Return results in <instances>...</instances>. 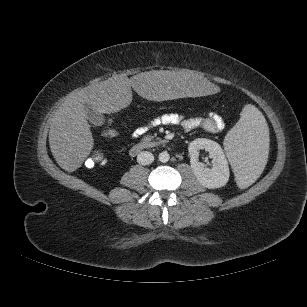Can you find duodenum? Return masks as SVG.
Wrapping results in <instances>:
<instances>
[{"mask_svg": "<svg viewBox=\"0 0 307 307\" xmlns=\"http://www.w3.org/2000/svg\"><path fill=\"white\" fill-rule=\"evenodd\" d=\"M164 142L165 141H163V140H144V141H141L139 143L134 144L130 148V154L132 156H136L141 151H143L145 149L158 147L159 145H162Z\"/></svg>", "mask_w": 307, "mask_h": 307, "instance_id": "1", "label": "duodenum"}]
</instances>
